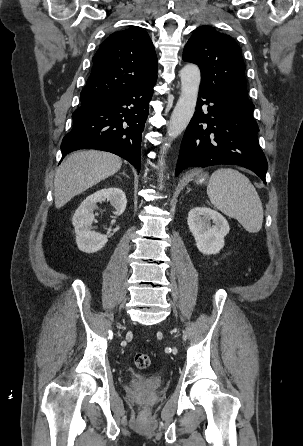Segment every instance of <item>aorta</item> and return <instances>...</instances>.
I'll list each match as a JSON object with an SVG mask.
<instances>
[{
    "label": "aorta",
    "instance_id": "obj_1",
    "mask_svg": "<svg viewBox=\"0 0 303 446\" xmlns=\"http://www.w3.org/2000/svg\"><path fill=\"white\" fill-rule=\"evenodd\" d=\"M181 94L172 112L167 128V142L163 144L161 152L166 153L171 141L178 137L187 127L195 112L197 96L201 81L200 70L197 65L187 64L181 72ZM165 160H159V166L163 167ZM163 176V174H162ZM162 187V179L160 180Z\"/></svg>",
    "mask_w": 303,
    "mask_h": 446
}]
</instances>
